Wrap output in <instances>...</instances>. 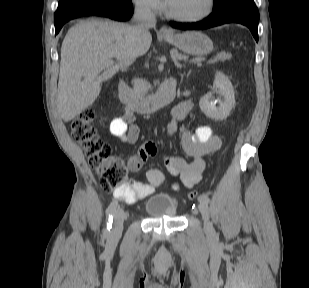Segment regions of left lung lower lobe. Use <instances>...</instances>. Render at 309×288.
<instances>
[{
	"instance_id": "left-lung-lower-lobe-1",
	"label": "left lung lower lobe",
	"mask_w": 309,
	"mask_h": 288,
	"mask_svg": "<svg viewBox=\"0 0 309 288\" xmlns=\"http://www.w3.org/2000/svg\"><path fill=\"white\" fill-rule=\"evenodd\" d=\"M231 22L247 26L258 41L259 13L253 0H231L219 9L213 10V13L203 21L196 23L170 22V25L182 30H196Z\"/></svg>"
}]
</instances>
